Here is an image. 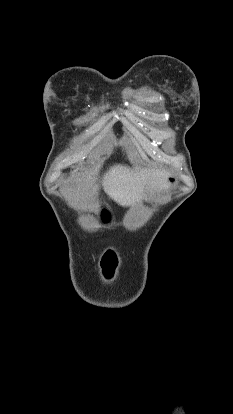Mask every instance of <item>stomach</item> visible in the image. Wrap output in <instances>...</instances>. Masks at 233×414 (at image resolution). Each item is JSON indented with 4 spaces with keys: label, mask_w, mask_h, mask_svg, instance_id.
<instances>
[{
    "label": "stomach",
    "mask_w": 233,
    "mask_h": 414,
    "mask_svg": "<svg viewBox=\"0 0 233 414\" xmlns=\"http://www.w3.org/2000/svg\"><path fill=\"white\" fill-rule=\"evenodd\" d=\"M170 184H176V179L173 176H169Z\"/></svg>",
    "instance_id": "1"
}]
</instances>
